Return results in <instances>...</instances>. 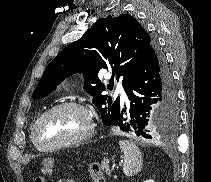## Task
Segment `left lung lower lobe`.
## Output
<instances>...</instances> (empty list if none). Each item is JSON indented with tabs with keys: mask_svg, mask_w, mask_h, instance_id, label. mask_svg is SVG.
<instances>
[{
	"mask_svg": "<svg viewBox=\"0 0 211 182\" xmlns=\"http://www.w3.org/2000/svg\"><path fill=\"white\" fill-rule=\"evenodd\" d=\"M125 92L131 107L128 111L120 108L116 125L122 131H131L142 139L153 138L156 130L150 127L153 125L150 119L152 109L158 111L159 127L166 130L177 127V93L166 58L156 43L147 50L136 74L125 87ZM126 112L128 118L123 117Z\"/></svg>",
	"mask_w": 211,
	"mask_h": 182,
	"instance_id": "left-lung-lower-lobe-1",
	"label": "left lung lower lobe"
}]
</instances>
